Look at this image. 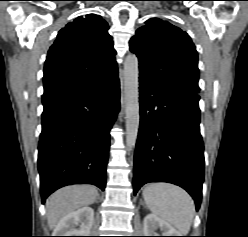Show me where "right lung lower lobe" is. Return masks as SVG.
<instances>
[{"label":"right lung lower lobe","mask_w":248,"mask_h":237,"mask_svg":"<svg viewBox=\"0 0 248 237\" xmlns=\"http://www.w3.org/2000/svg\"><path fill=\"white\" fill-rule=\"evenodd\" d=\"M118 71L95 81L44 94L38 170L41 197L70 184L104 190L109 131L120 109Z\"/></svg>","instance_id":"98d812e1"}]
</instances>
